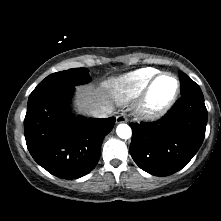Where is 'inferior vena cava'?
<instances>
[{
  "label": "inferior vena cava",
  "instance_id": "obj_1",
  "mask_svg": "<svg viewBox=\"0 0 221 221\" xmlns=\"http://www.w3.org/2000/svg\"><path fill=\"white\" fill-rule=\"evenodd\" d=\"M113 112L112 107L101 106L89 111V114L96 118H107Z\"/></svg>",
  "mask_w": 221,
  "mask_h": 221
}]
</instances>
